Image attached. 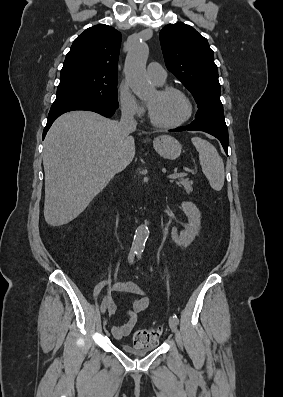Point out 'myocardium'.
Returning <instances> with one entry per match:
<instances>
[{"label": "myocardium", "instance_id": "obj_1", "mask_svg": "<svg viewBox=\"0 0 283 397\" xmlns=\"http://www.w3.org/2000/svg\"><path fill=\"white\" fill-rule=\"evenodd\" d=\"M157 91L160 95H166V94L173 93V92L181 94L185 98V100L188 104V112L184 118H182L176 122L162 123L155 119L150 107L148 106L149 119H150V122L154 126H156L158 128H163V129H173V128L182 126L183 124H185L187 121H189L191 119V117L194 113V104H193L191 97L185 90H183L179 87H176V86L166 85V86L159 87Z\"/></svg>", "mask_w": 283, "mask_h": 397}]
</instances>
